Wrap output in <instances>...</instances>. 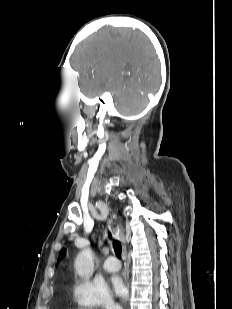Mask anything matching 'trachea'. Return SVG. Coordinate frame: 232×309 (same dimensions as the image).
<instances>
[{
  "label": "trachea",
  "mask_w": 232,
  "mask_h": 309,
  "mask_svg": "<svg viewBox=\"0 0 232 309\" xmlns=\"http://www.w3.org/2000/svg\"><path fill=\"white\" fill-rule=\"evenodd\" d=\"M109 238L112 239V236L111 234L109 233L108 234ZM113 247H114V252L116 254V256L121 259V253H122V246H121V243L118 242V241H113Z\"/></svg>",
  "instance_id": "1"
}]
</instances>
